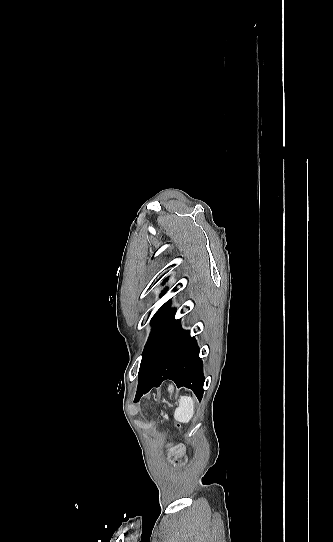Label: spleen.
Returning a JSON list of instances; mask_svg holds the SVG:
<instances>
[{
    "instance_id": "obj_1",
    "label": "spleen",
    "mask_w": 333,
    "mask_h": 542,
    "mask_svg": "<svg viewBox=\"0 0 333 542\" xmlns=\"http://www.w3.org/2000/svg\"><path fill=\"white\" fill-rule=\"evenodd\" d=\"M195 402L191 396H182L179 402V408L174 412V418L181 424H189L195 412Z\"/></svg>"
}]
</instances>
